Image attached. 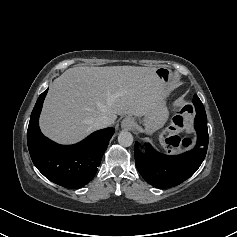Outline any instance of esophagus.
Returning a JSON list of instances; mask_svg holds the SVG:
<instances>
[{"instance_id": "34e87169", "label": "esophagus", "mask_w": 237, "mask_h": 237, "mask_svg": "<svg viewBox=\"0 0 237 237\" xmlns=\"http://www.w3.org/2000/svg\"><path fill=\"white\" fill-rule=\"evenodd\" d=\"M134 123H135L134 118L126 117L121 122V128L125 129V130L131 129L133 127Z\"/></svg>"}]
</instances>
